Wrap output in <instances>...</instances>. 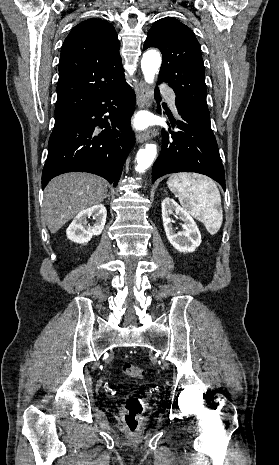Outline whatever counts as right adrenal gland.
Wrapping results in <instances>:
<instances>
[{"instance_id": "2a0ac1e0", "label": "right adrenal gland", "mask_w": 279, "mask_h": 465, "mask_svg": "<svg viewBox=\"0 0 279 465\" xmlns=\"http://www.w3.org/2000/svg\"><path fill=\"white\" fill-rule=\"evenodd\" d=\"M106 198L110 199V193L107 194Z\"/></svg>"}]
</instances>
